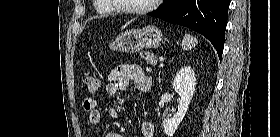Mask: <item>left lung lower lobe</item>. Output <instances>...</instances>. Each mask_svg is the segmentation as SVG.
<instances>
[{"mask_svg":"<svg viewBox=\"0 0 280 137\" xmlns=\"http://www.w3.org/2000/svg\"><path fill=\"white\" fill-rule=\"evenodd\" d=\"M230 0H167L149 15L204 35L221 58Z\"/></svg>","mask_w":280,"mask_h":137,"instance_id":"0a47b994","label":"left lung lower lobe"}]
</instances>
